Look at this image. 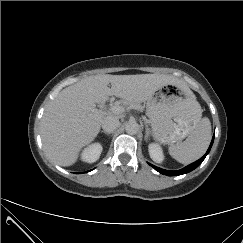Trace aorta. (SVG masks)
I'll return each instance as SVG.
<instances>
[{
  "instance_id": "aorta-1",
  "label": "aorta",
  "mask_w": 243,
  "mask_h": 243,
  "mask_svg": "<svg viewBox=\"0 0 243 243\" xmlns=\"http://www.w3.org/2000/svg\"><path fill=\"white\" fill-rule=\"evenodd\" d=\"M125 130L128 134H136L139 130V125L136 121H129L125 126Z\"/></svg>"
}]
</instances>
